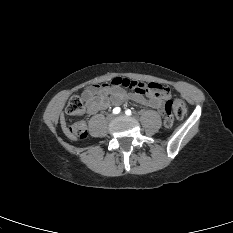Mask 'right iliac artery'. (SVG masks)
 Masks as SVG:
<instances>
[{
    "mask_svg": "<svg viewBox=\"0 0 233 233\" xmlns=\"http://www.w3.org/2000/svg\"><path fill=\"white\" fill-rule=\"evenodd\" d=\"M121 111V109L119 107H115L113 109V114H118Z\"/></svg>",
    "mask_w": 233,
    "mask_h": 233,
    "instance_id": "right-iliac-artery-1",
    "label": "right iliac artery"
}]
</instances>
